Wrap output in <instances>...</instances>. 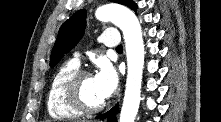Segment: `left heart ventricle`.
<instances>
[{"label":"left heart ventricle","instance_id":"1","mask_svg":"<svg viewBox=\"0 0 221 122\" xmlns=\"http://www.w3.org/2000/svg\"><path fill=\"white\" fill-rule=\"evenodd\" d=\"M81 94L83 99L89 105L95 106L104 102V99L100 96L94 77L85 78L81 84Z\"/></svg>","mask_w":221,"mask_h":122}]
</instances>
